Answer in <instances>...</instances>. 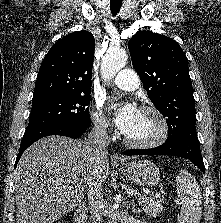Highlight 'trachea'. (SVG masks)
Masks as SVG:
<instances>
[{"label":"trachea","mask_w":221,"mask_h":223,"mask_svg":"<svg viewBox=\"0 0 221 223\" xmlns=\"http://www.w3.org/2000/svg\"><path fill=\"white\" fill-rule=\"evenodd\" d=\"M122 6V0H111L110 10L113 16L117 15Z\"/></svg>","instance_id":"obj_1"}]
</instances>
